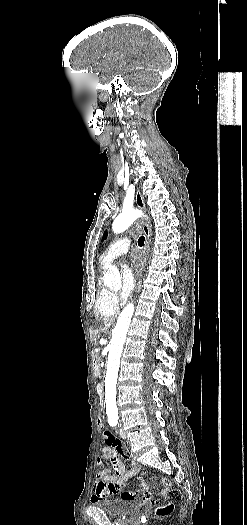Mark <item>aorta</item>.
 Returning <instances> with one entry per match:
<instances>
[{"mask_svg":"<svg viewBox=\"0 0 247 525\" xmlns=\"http://www.w3.org/2000/svg\"><path fill=\"white\" fill-rule=\"evenodd\" d=\"M142 215L143 213L138 209L124 210L114 220L112 224L113 232H124L137 218L141 217ZM103 282L106 286L111 288L120 286L121 276L115 266H109L107 268L103 277ZM133 312L134 305L133 303H129L118 317L116 326L112 331V339L108 344L109 354L105 377V402L106 413L109 422H117L118 420V408L116 405V384L120 357L122 354L123 345L126 340V335L130 327Z\"/></svg>","mask_w":247,"mask_h":525,"instance_id":"1","label":"aorta"}]
</instances>
